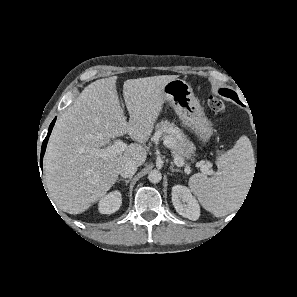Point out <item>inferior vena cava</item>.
I'll return each instance as SVG.
<instances>
[{"instance_id":"obj_1","label":"inferior vena cava","mask_w":297,"mask_h":297,"mask_svg":"<svg viewBox=\"0 0 297 297\" xmlns=\"http://www.w3.org/2000/svg\"><path fill=\"white\" fill-rule=\"evenodd\" d=\"M137 167L134 161L128 160L120 167L119 174L124 178L132 177L136 173Z\"/></svg>"}]
</instances>
